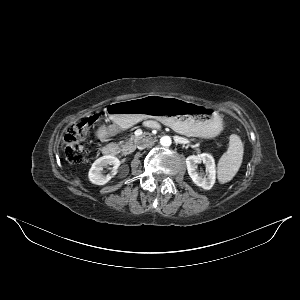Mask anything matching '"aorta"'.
Returning <instances> with one entry per match:
<instances>
[{
  "mask_svg": "<svg viewBox=\"0 0 300 300\" xmlns=\"http://www.w3.org/2000/svg\"><path fill=\"white\" fill-rule=\"evenodd\" d=\"M160 144L164 147H169L172 144V139L170 136H162L160 139Z\"/></svg>",
  "mask_w": 300,
  "mask_h": 300,
  "instance_id": "obj_1",
  "label": "aorta"
}]
</instances>
